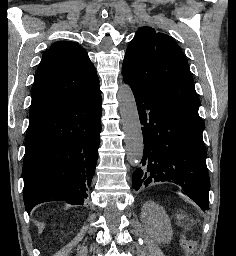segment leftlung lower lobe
Segmentation results:
<instances>
[{
    "label": "left lung lower lobe",
    "instance_id": "obj_1",
    "mask_svg": "<svg viewBox=\"0 0 236 256\" xmlns=\"http://www.w3.org/2000/svg\"><path fill=\"white\" fill-rule=\"evenodd\" d=\"M125 83L133 91L144 137L142 167L133 173V188L174 183L203 210L208 209L210 178L202 137L204 121L198 111Z\"/></svg>",
    "mask_w": 236,
    "mask_h": 256
}]
</instances>
